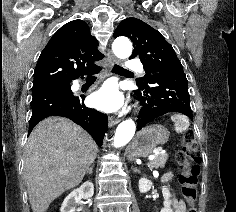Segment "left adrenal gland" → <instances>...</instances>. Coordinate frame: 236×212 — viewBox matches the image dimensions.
<instances>
[{
  "instance_id": "left-adrenal-gland-1",
  "label": "left adrenal gland",
  "mask_w": 236,
  "mask_h": 212,
  "mask_svg": "<svg viewBox=\"0 0 236 212\" xmlns=\"http://www.w3.org/2000/svg\"><path fill=\"white\" fill-rule=\"evenodd\" d=\"M134 172H139V170L137 168H133Z\"/></svg>"
}]
</instances>
